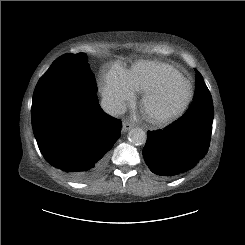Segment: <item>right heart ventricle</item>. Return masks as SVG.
<instances>
[{
	"mask_svg": "<svg viewBox=\"0 0 245 245\" xmlns=\"http://www.w3.org/2000/svg\"><path fill=\"white\" fill-rule=\"evenodd\" d=\"M176 72H179L174 67L151 61H140L133 65L130 71H127L132 88L139 92H144L149 88L155 87Z\"/></svg>",
	"mask_w": 245,
	"mask_h": 245,
	"instance_id": "1",
	"label": "right heart ventricle"
}]
</instances>
